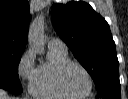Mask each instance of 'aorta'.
<instances>
[{
    "mask_svg": "<svg viewBox=\"0 0 128 99\" xmlns=\"http://www.w3.org/2000/svg\"><path fill=\"white\" fill-rule=\"evenodd\" d=\"M29 45L39 51H43V18L39 17L33 21L29 31Z\"/></svg>",
    "mask_w": 128,
    "mask_h": 99,
    "instance_id": "obj_1",
    "label": "aorta"
}]
</instances>
